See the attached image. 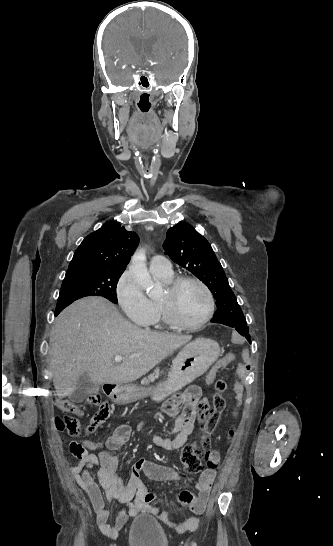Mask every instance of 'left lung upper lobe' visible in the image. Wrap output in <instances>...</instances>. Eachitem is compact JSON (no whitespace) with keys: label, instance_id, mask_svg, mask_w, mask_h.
I'll return each instance as SVG.
<instances>
[{"label":"left lung upper lobe","instance_id":"obj_1","mask_svg":"<svg viewBox=\"0 0 333 546\" xmlns=\"http://www.w3.org/2000/svg\"><path fill=\"white\" fill-rule=\"evenodd\" d=\"M163 248L175 263L192 272L210 289L218 308L214 317L231 327L247 325L211 245L192 225L178 223L171 227Z\"/></svg>","mask_w":333,"mask_h":546}]
</instances>
